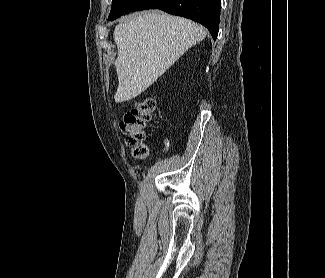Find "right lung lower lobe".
Here are the masks:
<instances>
[{"label": "right lung lower lobe", "mask_w": 325, "mask_h": 278, "mask_svg": "<svg viewBox=\"0 0 325 278\" xmlns=\"http://www.w3.org/2000/svg\"><path fill=\"white\" fill-rule=\"evenodd\" d=\"M160 9L204 25L215 40L219 31L220 0H136L132 12Z\"/></svg>", "instance_id": "obj_1"}]
</instances>
